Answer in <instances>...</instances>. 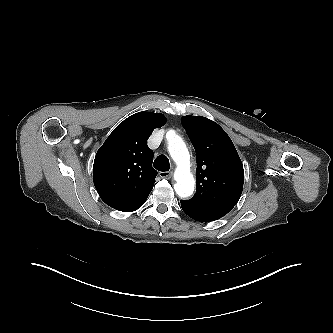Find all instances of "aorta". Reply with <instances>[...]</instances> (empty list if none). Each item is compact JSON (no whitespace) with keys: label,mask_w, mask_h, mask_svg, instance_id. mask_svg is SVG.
Returning <instances> with one entry per match:
<instances>
[{"label":"aorta","mask_w":333,"mask_h":333,"mask_svg":"<svg viewBox=\"0 0 333 333\" xmlns=\"http://www.w3.org/2000/svg\"><path fill=\"white\" fill-rule=\"evenodd\" d=\"M168 151L177 164L175 171V192L181 198L193 194L195 180L190 172V156L187 147L181 137L174 135L168 141Z\"/></svg>","instance_id":"obj_1"}]
</instances>
